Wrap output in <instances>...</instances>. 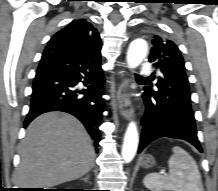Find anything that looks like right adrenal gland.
Wrapping results in <instances>:
<instances>
[{"label": "right adrenal gland", "instance_id": "2a0ac1e0", "mask_svg": "<svg viewBox=\"0 0 218 191\" xmlns=\"http://www.w3.org/2000/svg\"><path fill=\"white\" fill-rule=\"evenodd\" d=\"M88 179H89V174L86 177L82 178V180H84L85 182H88Z\"/></svg>", "mask_w": 218, "mask_h": 191}]
</instances>
